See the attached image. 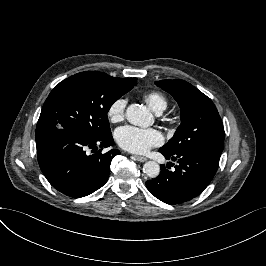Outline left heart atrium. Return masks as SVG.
<instances>
[{"instance_id":"1","label":"left heart atrium","mask_w":266,"mask_h":266,"mask_svg":"<svg viewBox=\"0 0 266 266\" xmlns=\"http://www.w3.org/2000/svg\"><path fill=\"white\" fill-rule=\"evenodd\" d=\"M115 139L125 150L133 153H144L163 142L162 133L155 128H141L124 125L116 129Z\"/></svg>"}]
</instances>
